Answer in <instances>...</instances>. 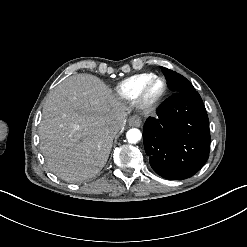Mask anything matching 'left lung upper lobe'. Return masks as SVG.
Masks as SVG:
<instances>
[{"label": "left lung upper lobe", "instance_id": "obj_1", "mask_svg": "<svg viewBox=\"0 0 247 247\" xmlns=\"http://www.w3.org/2000/svg\"><path fill=\"white\" fill-rule=\"evenodd\" d=\"M161 68L167 78L169 88L174 93L195 90L191 82L188 81L184 76L167 68L164 67Z\"/></svg>", "mask_w": 247, "mask_h": 247}]
</instances>
